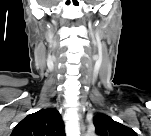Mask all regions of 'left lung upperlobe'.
<instances>
[{
    "label": "left lung upper lobe",
    "mask_w": 151,
    "mask_h": 136,
    "mask_svg": "<svg viewBox=\"0 0 151 136\" xmlns=\"http://www.w3.org/2000/svg\"><path fill=\"white\" fill-rule=\"evenodd\" d=\"M96 133L99 136H135L136 133L129 127L114 121L105 114H97L93 118Z\"/></svg>",
    "instance_id": "obj_1"
}]
</instances>
